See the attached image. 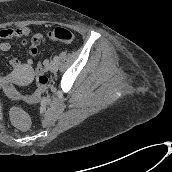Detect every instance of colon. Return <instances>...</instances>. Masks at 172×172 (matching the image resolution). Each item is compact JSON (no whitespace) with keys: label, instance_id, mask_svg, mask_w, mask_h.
Wrapping results in <instances>:
<instances>
[{"label":"colon","instance_id":"obj_1","mask_svg":"<svg viewBox=\"0 0 172 172\" xmlns=\"http://www.w3.org/2000/svg\"><path fill=\"white\" fill-rule=\"evenodd\" d=\"M47 36L51 39H56L64 43H72L76 40V36L68 29L63 27H56L53 31L49 32ZM48 83V78L45 75L42 64L39 63L36 77V89L34 93L29 95H22L13 85L12 81L7 79L3 82L5 94L13 100H24L29 103L39 101L41 95L45 91ZM11 118L15 125L21 130H27L30 126L29 117L19 107H13L10 111Z\"/></svg>","mask_w":172,"mask_h":172}]
</instances>
